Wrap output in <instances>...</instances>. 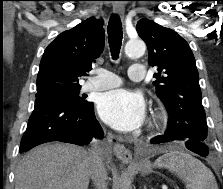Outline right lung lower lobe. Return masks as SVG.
Masks as SVG:
<instances>
[{
	"label": "right lung lower lobe",
	"mask_w": 223,
	"mask_h": 189,
	"mask_svg": "<svg viewBox=\"0 0 223 189\" xmlns=\"http://www.w3.org/2000/svg\"><path fill=\"white\" fill-rule=\"evenodd\" d=\"M92 137H103L92 102L85 107H77L61 101L35 100L19 151L27 152L51 141L85 145Z\"/></svg>",
	"instance_id": "98d812e1"
}]
</instances>
